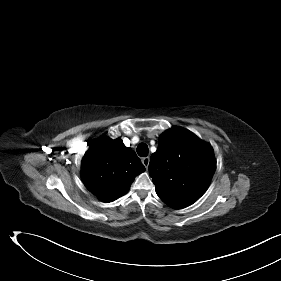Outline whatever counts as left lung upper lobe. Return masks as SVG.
Masks as SVG:
<instances>
[{"label": "left lung upper lobe", "instance_id": "left-lung-upper-lobe-1", "mask_svg": "<svg viewBox=\"0 0 281 281\" xmlns=\"http://www.w3.org/2000/svg\"><path fill=\"white\" fill-rule=\"evenodd\" d=\"M215 170L211 145L177 126L161 134L149 164L157 195L176 209L189 206L201 197Z\"/></svg>", "mask_w": 281, "mask_h": 281}]
</instances>
